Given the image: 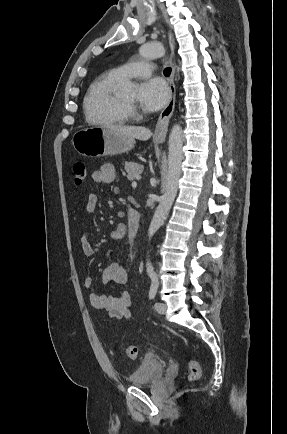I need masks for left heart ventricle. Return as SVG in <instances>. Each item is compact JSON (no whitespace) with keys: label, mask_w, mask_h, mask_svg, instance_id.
I'll return each mask as SVG.
<instances>
[{"label":"left heart ventricle","mask_w":287,"mask_h":434,"mask_svg":"<svg viewBox=\"0 0 287 434\" xmlns=\"http://www.w3.org/2000/svg\"><path fill=\"white\" fill-rule=\"evenodd\" d=\"M124 98L128 101H131V102H133L135 100V97L133 95H127V96H124Z\"/></svg>","instance_id":"obj_1"}]
</instances>
